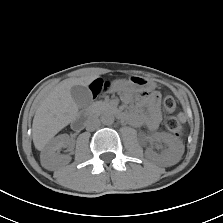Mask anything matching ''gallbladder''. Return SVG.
Wrapping results in <instances>:
<instances>
[{
  "instance_id": "1",
  "label": "gallbladder",
  "mask_w": 223,
  "mask_h": 223,
  "mask_svg": "<svg viewBox=\"0 0 223 223\" xmlns=\"http://www.w3.org/2000/svg\"><path fill=\"white\" fill-rule=\"evenodd\" d=\"M71 96L79 107H86L92 100V94L88 87L75 85L71 88Z\"/></svg>"
}]
</instances>
